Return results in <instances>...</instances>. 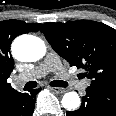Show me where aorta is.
<instances>
[{"mask_svg":"<svg viewBox=\"0 0 116 116\" xmlns=\"http://www.w3.org/2000/svg\"><path fill=\"white\" fill-rule=\"evenodd\" d=\"M13 56L22 62H34L44 57L46 46L42 39L33 35H21L12 43ZM62 106L68 110H76L80 106V98L76 92H68L62 98Z\"/></svg>","mask_w":116,"mask_h":116,"instance_id":"1","label":"aorta"}]
</instances>
